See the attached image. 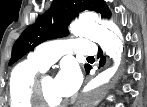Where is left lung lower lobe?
Segmentation results:
<instances>
[{"mask_svg": "<svg viewBox=\"0 0 147 107\" xmlns=\"http://www.w3.org/2000/svg\"><path fill=\"white\" fill-rule=\"evenodd\" d=\"M98 56H100V58H101V60H100V66H102L105 63V57L103 56L102 52H99L98 53ZM90 69H91V66H89L86 69V72L89 73Z\"/></svg>", "mask_w": 147, "mask_h": 107, "instance_id": "obj_1", "label": "left lung lower lobe"}]
</instances>
